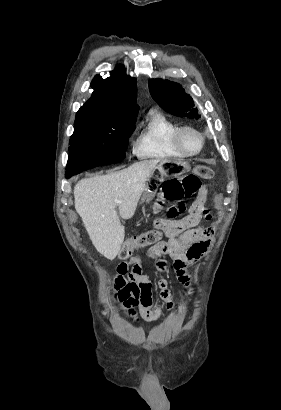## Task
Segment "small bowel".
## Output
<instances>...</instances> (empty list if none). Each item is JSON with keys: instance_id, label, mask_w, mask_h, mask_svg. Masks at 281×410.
<instances>
[{"instance_id": "obj_1", "label": "small bowel", "mask_w": 281, "mask_h": 410, "mask_svg": "<svg viewBox=\"0 0 281 410\" xmlns=\"http://www.w3.org/2000/svg\"><path fill=\"white\" fill-rule=\"evenodd\" d=\"M207 194V187H201L188 214L180 220L169 221L158 218L156 221V227L165 233L168 240L152 246L147 257L157 259L156 285L159 289V297L168 308L173 306V301L165 278L169 265L163 258L169 257L172 260V268L177 278L188 285L190 283L188 267L205 254L214 235L212 226H199L201 219L207 221L211 219L205 207ZM110 284L114 292L112 295L114 303L124 308L138 307L141 318L147 322L161 317V308L153 306L152 283L148 269L143 267L140 256L135 255L127 261L120 262Z\"/></svg>"}]
</instances>
